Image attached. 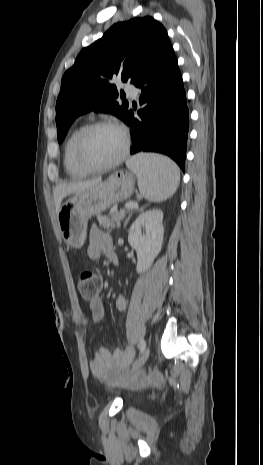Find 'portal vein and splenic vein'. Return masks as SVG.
Listing matches in <instances>:
<instances>
[{"label":"portal vein and splenic vein","instance_id":"portal-vein-and-splenic-vein-1","mask_svg":"<svg viewBox=\"0 0 263 465\" xmlns=\"http://www.w3.org/2000/svg\"><path fill=\"white\" fill-rule=\"evenodd\" d=\"M126 209H136L138 208V204L135 202H129L125 205Z\"/></svg>","mask_w":263,"mask_h":465}]
</instances>
